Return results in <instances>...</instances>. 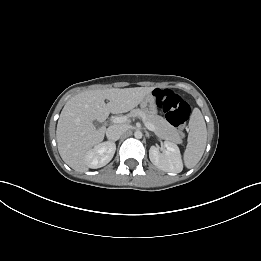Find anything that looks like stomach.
I'll list each match as a JSON object with an SVG mask.
<instances>
[{
    "mask_svg": "<svg viewBox=\"0 0 261 261\" xmlns=\"http://www.w3.org/2000/svg\"><path fill=\"white\" fill-rule=\"evenodd\" d=\"M140 107L146 113L155 114L157 108L154 96L151 94L147 95L140 103Z\"/></svg>",
    "mask_w": 261,
    "mask_h": 261,
    "instance_id": "obj_1",
    "label": "stomach"
}]
</instances>
